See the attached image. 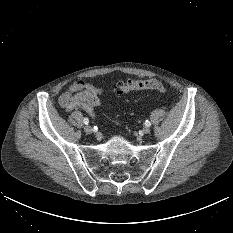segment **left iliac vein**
Listing matches in <instances>:
<instances>
[{"label": "left iliac vein", "mask_w": 233, "mask_h": 233, "mask_svg": "<svg viewBox=\"0 0 233 233\" xmlns=\"http://www.w3.org/2000/svg\"><path fill=\"white\" fill-rule=\"evenodd\" d=\"M143 132L145 133V134H148V133H150V128L149 127H144L143 128Z\"/></svg>", "instance_id": "obj_1"}]
</instances>
